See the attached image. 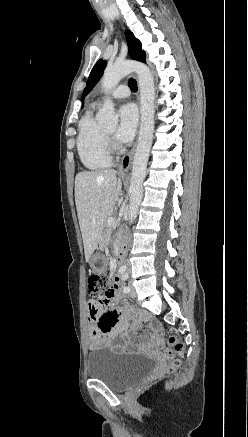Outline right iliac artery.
<instances>
[{
    "mask_svg": "<svg viewBox=\"0 0 248 437\" xmlns=\"http://www.w3.org/2000/svg\"><path fill=\"white\" fill-rule=\"evenodd\" d=\"M125 270H126V266L125 265H123V266H121L120 267V269H119V273H124L125 272Z\"/></svg>",
    "mask_w": 248,
    "mask_h": 437,
    "instance_id": "1",
    "label": "right iliac artery"
}]
</instances>
